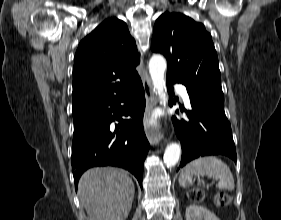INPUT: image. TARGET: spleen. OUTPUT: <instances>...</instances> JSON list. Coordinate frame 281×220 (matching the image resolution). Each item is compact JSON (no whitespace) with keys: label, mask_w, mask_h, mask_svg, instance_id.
<instances>
[{"label":"spleen","mask_w":281,"mask_h":220,"mask_svg":"<svg viewBox=\"0 0 281 220\" xmlns=\"http://www.w3.org/2000/svg\"><path fill=\"white\" fill-rule=\"evenodd\" d=\"M193 175L207 176L218 180L216 187L232 191L234 178L230 168L215 156L200 157L188 163L180 171L179 184L187 187L192 182Z\"/></svg>","instance_id":"3e777b00"}]
</instances>
